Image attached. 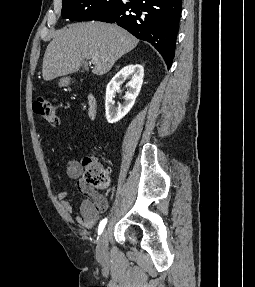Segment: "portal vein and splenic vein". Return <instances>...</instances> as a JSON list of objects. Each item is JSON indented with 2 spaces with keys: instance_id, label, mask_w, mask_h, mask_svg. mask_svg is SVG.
<instances>
[{
  "instance_id": "18ae733b",
  "label": "portal vein and splenic vein",
  "mask_w": 255,
  "mask_h": 287,
  "mask_svg": "<svg viewBox=\"0 0 255 287\" xmlns=\"http://www.w3.org/2000/svg\"><path fill=\"white\" fill-rule=\"evenodd\" d=\"M91 62L92 64H98V58H92Z\"/></svg>"
}]
</instances>
